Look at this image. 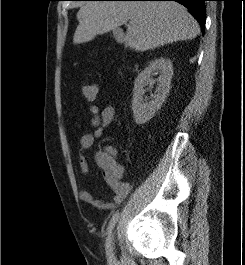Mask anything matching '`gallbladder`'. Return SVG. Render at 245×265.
Instances as JSON below:
<instances>
[{
    "mask_svg": "<svg viewBox=\"0 0 245 265\" xmlns=\"http://www.w3.org/2000/svg\"><path fill=\"white\" fill-rule=\"evenodd\" d=\"M118 33H121L120 29H114L113 30V35L116 36Z\"/></svg>",
    "mask_w": 245,
    "mask_h": 265,
    "instance_id": "gallbladder-1",
    "label": "gallbladder"
}]
</instances>
